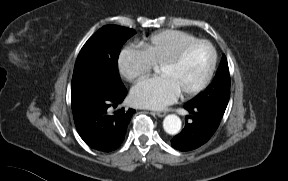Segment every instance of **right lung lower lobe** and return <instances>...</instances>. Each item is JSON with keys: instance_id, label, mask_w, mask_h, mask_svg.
Masks as SVG:
<instances>
[{"instance_id": "obj_1", "label": "right lung lower lobe", "mask_w": 288, "mask_h": 181, "mask_svg": "<svg viewBox=\"0 0 288 181\" xmlns=\"http://www.w3.org/2000/svg\"><path fill=\"white\" fill-rule=\"evenodd\" d=\"M126 94V88L117 93L100 92L85 107L83 116L75 125L79 135L89 147L110 152L122 144L135 110L121 108L110 115L108 108L112 104L121 103Z\"/></svg>"}]
</instances>
